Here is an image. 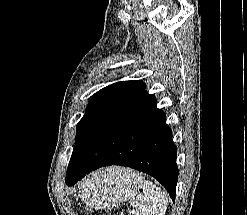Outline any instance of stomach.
<instances>
[{
  "label": "stomach",
  "instance_id": "obj_1",
  "mask_svg": "<svg viewBox=\"0 0 247 215\" xmlns=\"http://www.w3.org/2000/svg\"><path fill=\"white\" fill-rule=\"evenodd\" d=\"M119 169L101 170L85 180L79 196L86 206L110 207L138 192L142 186L139 175L130 170L120 173Z\"/></svg>",
  "mask_w": 247,
  "mask_h": 215
}]
</instances>
